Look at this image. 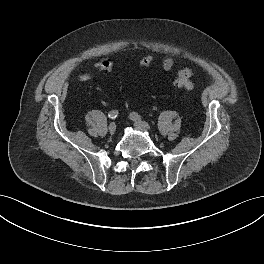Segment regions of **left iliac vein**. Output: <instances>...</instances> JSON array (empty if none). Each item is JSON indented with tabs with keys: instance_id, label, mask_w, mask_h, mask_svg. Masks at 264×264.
Masks as SVG:
<instances>
[{
	"instance_id": "4c4485c4",
	"label": "left iliac vein",
	"mask_w": 264,
	"mask_h": 264,
	"mask_svg": "<svg viewBox=\"0 0 264 264\" xmlns=\"http://www.w3.org/2000/svg\"><path fill=\"white\" fill-rule=\"evenodd\" d=\"M134 125L142 130H150L149 124L142 120H134Z\"/></svg>"
}]
</instances>
